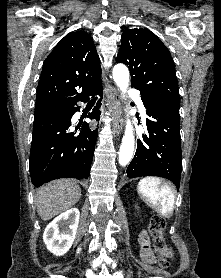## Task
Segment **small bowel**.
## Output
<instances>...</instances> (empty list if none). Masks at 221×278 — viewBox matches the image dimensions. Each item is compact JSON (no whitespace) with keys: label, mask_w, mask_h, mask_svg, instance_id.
<instances>
[{"label":"small bowel","mask_w":221,"mask_h":278,"mask_svg":"<svg viewBox=\"0 0 221 278\" xmlns=\"http://www.w3.org/2000/svg\"><path fill=\"white\" fill-rule=\"evenodd\" d=\"M141 246V256L147 263H153L155 261V255L151 252L150 249V239L146 231H143L140 234L139 238ZM168 254H170L168 252Z\"/></svg>","instance_id":"small-bowel-1"}]
</instances>
